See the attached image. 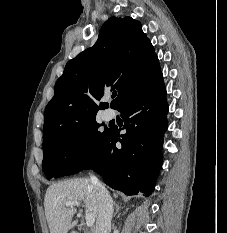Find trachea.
<instances>
[{"instance_id":"obj_1","label":"trachea","mask_w":227,"mask_h":233,"mask_svg":"<svg viewBox=\"0 0 227 233\" xmlns=\"http://www.w3.org/2000/svg\"><path fill=\"white\" fill-rule=\"evenodd\" d=\"M116 95H117V93H113V94H112V97L114 98Z\"/></svg>"}]
</instances>
